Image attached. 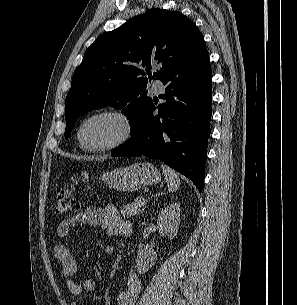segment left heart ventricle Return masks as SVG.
Listing matches in <instances>:
<instances>
[{
	"instance_id": "1",
	"label": "left heart ventricle",
	"mask_w": 297,
	"mask_h": 305,
	"mask_svg": "<svg viewBox=\"0 0 297 305\" xmlns=\"http://www.w3.org/2000/svg\"><path fill=\"white\" fill-rule=\"evenodd\" d=\"M121 134L118 121L108 117L89 121L83 128L82 137L88 145H101L111 142Z\"/></svg>"
}]
</instances>
